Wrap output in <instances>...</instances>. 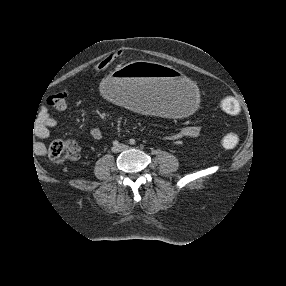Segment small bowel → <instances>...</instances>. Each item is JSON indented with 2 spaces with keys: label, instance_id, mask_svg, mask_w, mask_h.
Wrapping results in <instances>:
<instances>
[{
  "label": "small bowel",
  "instance_id": "1",
  "mask_svg": "<svg viewBox=\"0 0 286 286\" xmlns=\"http://www.w3.org/2000/svg\"><path fill=\"white\" fill-rule=\"evenodd\" d=\"M56 125V119L48 113V111L43 110L40 113V125L37 128V136L41 139H47L50 137V129ZM200 133V128L197 125H187L177 132L168 136L170 140H180L183 138H192L198 136ZM91 136L93 139L100 141L103 138V132L100 127L94 126L91 129ZM65 144L68 147L71 156L74 160L79 158V153L81 150L82 142L76 138H68L65 140ZM35 150L43 155L45 153L46 147L44 143L38 142L35 144Z\"/></svg>",
  "mask_w": 286,
  "mask_h": 286
}]
</instances>
